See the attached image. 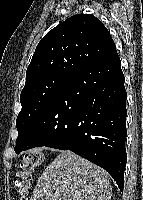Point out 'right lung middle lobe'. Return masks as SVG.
Segmentation results:
<instances>
[{
    "label": "right lung middle lobe",
    "mask_w": 143,
    "mask_h": 200,
    "mask_svg": "<svg viewBox=\"0 0 143 200\" xmlns=\"http://www.w3.org/2000/svg\"><path fill=\"white\" fill-rule=\"evenodd\" d=\"M69 78L70 75L52 74L24 86L20 94L22 109L16 120L18 130L14 148L16 153H19L24 139L37 118Z\"/></svg>",
    "instance_id": "right-lung-middle-lobe-1"
}]
</instances>
